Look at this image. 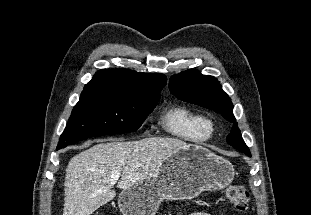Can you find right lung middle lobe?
<instances>
[{
    "label": "right lung middle lobe",
    "mask_w": 311,
    "mask_h": 215,
    "mask_svg": "<svg viewBox=\"0 0 311 215\" xmlns=\"http://www.w3.org/2000/svg\"><path fill=\"white\" fill-rule=\"evenodd\" d=\"M159 99L82 92L60 136L57 150L94 136L135 131L153 111Z\"/></svg>",
    "instance_id": "1"
}]
</instances>
